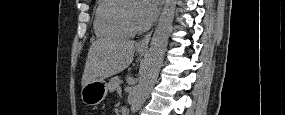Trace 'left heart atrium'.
<instances>
[{
    "label": "left heart atrium",
    "instance_id": "1",
    "mask_svg": "<svg viewBox=\"0 0 285 115\" xmlns=\"http://www.w3.org/2000/svg\"><path fill=\"white\" fill-rule=\"evenodd\" d=\"M158 0H140L138 3V19L142 26L150 24L158 10Z\"/></svg>",
    "mask_w": 285,
    "mask_h": 115
}]
</instances>
